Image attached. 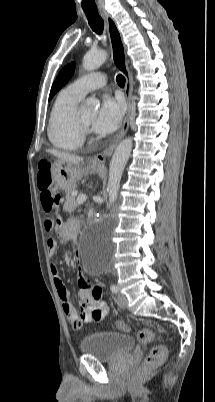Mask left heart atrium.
<instances>
[{
    "label": "left heart atrium",
    "mask_w": 215,
    "mask_h": 402,
    "mask_svg": "<svg viewBox=\"0 0 215 402\" xmlns=\"http://www.w3.org/2000/svg\"><path fill=\"white\" fill-rule=\"evenodd\" d=\"M124 114L121 99L105 95L92 123L93 129L100 134L114 132L120 125Z\"/></svg>",
    "instance_id": "39dd6f15"
}]
</instances>
